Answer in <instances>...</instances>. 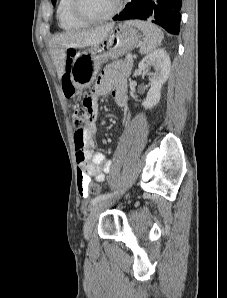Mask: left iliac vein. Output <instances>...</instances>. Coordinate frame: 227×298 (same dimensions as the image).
<instances>
[{"instance_id":"1","label":"left iliac vein","mask_w":227,"mask_h":298,"mask_svg":"<svg viewBox=\"0 0 227 298\" xmlns=\"http://www.w3.org/2000/svg\"><path fill=\"white\" fill-rule=\"evenodd\" d=\"M106 205H107V203L104 200H102L93 206L92 210L90 211V213L84 223V236L86 238L90 237L93 227H94L96 221L98 220L100 213L103 211V209L106 207Z\"/></svg>"}]
</instances>
